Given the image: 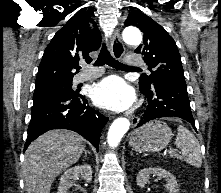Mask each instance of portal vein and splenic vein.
<instances>
[{
  "label": "portal vein and splenic vein",
  "mask_w": 221,
  "mask_h": 193,
  "mask_svg": "<svg viewBox=\"0 0 221 193\" xmlns=\"http://www.w3.org/2000/svg\"><path fill=\"white\" fill-rule=\"evenodd\" d=\"M174 151L172 150V151H169V153H173Z\"/></svg>",
  "instance_id": "1"
}]
</instances>
